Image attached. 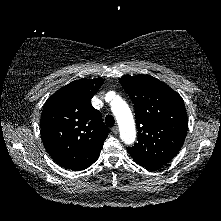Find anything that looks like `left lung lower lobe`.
<instances>
[{
  "label": "left lung lower lobe",
  "instance_id": "obj_1",
  "mask_svg": "<svg viewBox=\"0 0 221 221\" xmlns=\"http://www.w3.org/2000/svg\"><path fill=\"white\" fill-rule=\"evenodd\" d=\"M138 164L147 168V169H156V168L160 167L159 165H152V164H144V163H138Z\"/></svg>",
  "mask_w": 221,
  "mask_h": 221
}]
</instances>
